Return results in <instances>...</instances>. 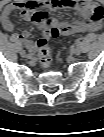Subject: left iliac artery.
<instances>
[{"instance_id": "obj_1", "label": "left iliac artery", "mask_w": 104, "mask_h": 137, "mask_svg": "<svg viewBox=\"0 0 104 137\" xmlns=\"http://www.w3.org/2000/svg\"><path fill=\"white\" fill-rule=\"evenodd\" d=\"M77 43H80V40H79V39H75V40L73 41V44H74V45H76Z\"/></svg>"}]
</instances>
